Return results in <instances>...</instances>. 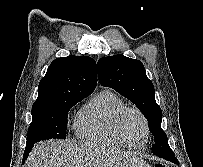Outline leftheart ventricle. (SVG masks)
<instances>
[{"mask_svg":"<svg viewBox=\"0 0 203 167\" xmlns=\"http://www.w3.org/2000/svg\"><path fill=\"white\" fill-rule=\"evenodd\" d=\"M121 130L133 144H141L145 138L144 125L141 118L134 112L126 113L120 123Z\"/></svg>","mask_w":203,"mask_h":167,"instance_id":"1","label":"left heart ventricle"}]
</instances>
